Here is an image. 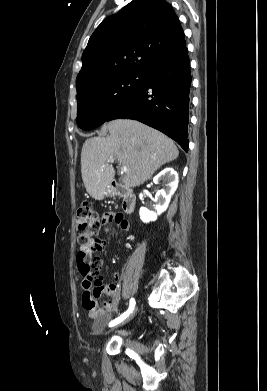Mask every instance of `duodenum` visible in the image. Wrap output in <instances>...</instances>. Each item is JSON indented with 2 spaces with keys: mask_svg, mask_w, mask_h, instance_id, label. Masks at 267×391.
I'll use <instances>...</instances> for the list:
<instances>
[{
  "mask_svg": "<svg viewBox=\"0 0 267 391\" xmlns=\"http://www.w3.org/2000/svg\"><path fill=\"white\" fill-rule=\"evenodd\" d=\"M110 191L113 195L123 199L122 208L127 214H131L136 206V196L130 188L116 180L110 182Z\"/></svg>",
  "mask_w": 267,
  "mask_h": 391,
  "instance_id": "410a0bca",
  "label": "duodenum"
}]
</instances>
